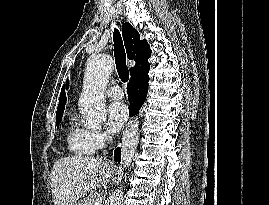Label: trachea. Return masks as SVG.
I'll list each match as a JSON object with an SVG mask.
<instances>
[{
  "label": "trachea",
  "mask_w": 269,
  "mask_h": 205,
  "mask_svg": "<svg viewBox=\"0 0 269 205\" xmlns=\"http://www.w3.org/2000/svg\"><path fill=\"white\" fill-rule=\"evenodd\" d=\"M114 41V56L116 69L119 75V78L122 82H127L129 80V71L126 65V53L123 46V41L121 35L117 29L113 33Z\"/></svg>",
  "instance_id": "obj_1"
}]
</instances>
